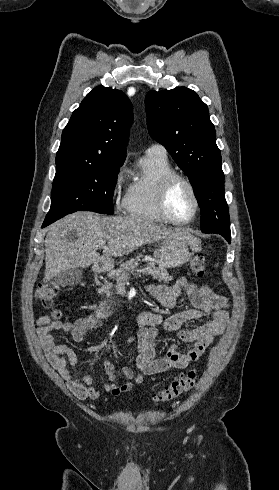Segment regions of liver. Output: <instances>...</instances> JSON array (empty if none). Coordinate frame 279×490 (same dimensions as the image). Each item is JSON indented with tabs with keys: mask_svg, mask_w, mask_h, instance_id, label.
<instances>
[{
	"mask_svg": "<svg viewBox=\"0 0 279 490\" xmlns=\"http://www.w3.org/2000/svg\"><path fill=\"white\" fill-rule=\"evenodd\" d=\"M74 230L77 240L68 242L67 232ZM171 238H184L192 250L199 252L198 238L189 234L188 228H161L145 218L123 216L105 218L94 212H75L49 226L45 238V276L49 282L61 272L73 268H110V256H126L144 244L167 242ZM107 244V246H106ZM103 248V256L97 250Z\"/></svg>",
	"mask_w": 279,
	"mask_h": 490,
	"instance_id": "obj_1",
	"label": "liver"
}]
</instances>
